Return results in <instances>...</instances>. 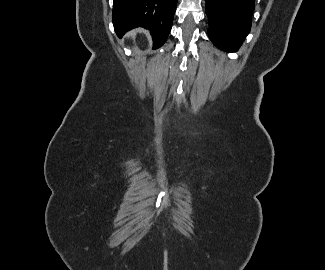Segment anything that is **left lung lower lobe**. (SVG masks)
<instances>
[{"label":"left lung lower lobe","instance_id":"left-lung-lower-lobe-1","mask_svg":"<svg viewBox=\"0 0 325 270\" xmlns=\"http://www.w3.org/2000/svg\"><path fill=\"white\" fill-rule=\"evenodd\" d=\"M255 0H206L211 41L226 52L238 50L251 28Z\"/></svg>","mask_w":325,"mask_h":270}]
</instances>
